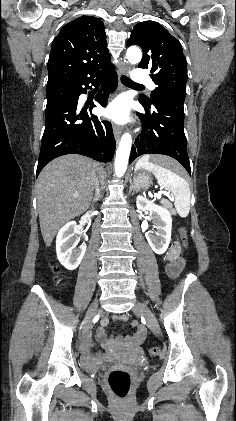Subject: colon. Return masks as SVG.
<instances>
[{"label": "colon", "mask_w": 236, "mask_h": 421, "mask_svg": "<svg viewBox=\"0 0 236 421\" xmlns=\"http://www.w3.org/2000/svg\"><path fill=\"white\" fill-rule=\"evenodd\" d=\"M180 242L183 247H188V235L185 227L180 228ZM55 272H59L57 267H55ZM148 354L149 356L154 357L158 354V350L156 348H150ZM108 384L116 396L119 398H124L128 394L131 387V376L125 370H112L108 376Z\"/></svg>", "instance_id": "colon-1"}]
</instances>
